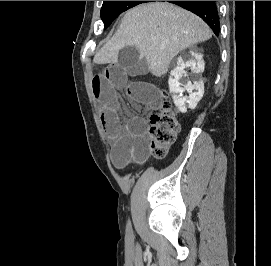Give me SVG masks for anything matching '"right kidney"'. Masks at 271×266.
Instances as JSON below:
<instances>
[{
  "instance_id": "1",
  "label": "right kidney",
  "mask_w": 271,
  "mask_h": 266,
  "mask_svg": "<svg viewBox=\"0 0 271 266\" xmlns=\"http://www.w3.org/2000/svg\"><path fill=\"white\" fill-rule=\"evenodd\" d=\"M190 67L192 73L189 75L184 70ZM205 63L202 55L191 49L178 57L176 67L170 72L168 80L169 90L172 94L174 104L180 112H187V108L194 109L204 94V83L200 74L204 71ZM184 87H181V83ZM187 91L189 96H182Z\"/></svg>"
}]
</instances>
